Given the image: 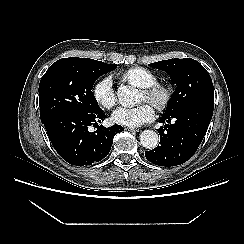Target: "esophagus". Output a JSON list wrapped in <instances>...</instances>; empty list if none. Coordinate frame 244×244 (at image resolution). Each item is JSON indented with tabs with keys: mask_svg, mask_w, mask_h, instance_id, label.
Wrapping results in <instances>:
<instances>
[{
	"mask_svg": "<svg viewBox=\"0 0 244 244\" xmlns=\"http://www.w3.org/2000/svg\"><path fill=\"white\" fill-rule=\"evenodd\" d=\"M130 132H139V129L126 128Z\"/></svg>",
	"mask_w": 244,
	"mask_h": 244,
	"instance_id": "obj_1",
	"label": "esophagus"
}]
</instances>
